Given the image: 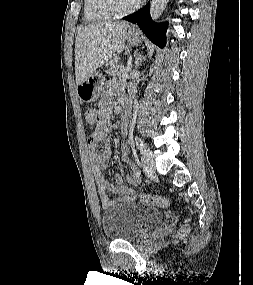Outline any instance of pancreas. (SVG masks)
Wrapping results in <instances>:
<instances>
[{
  "mask_svg": "<svg viewBox=\"0 0 253 285\" xmlns=\"http://www.w3.org/2000/svg\"><path fill=\"white\" fill-rule=\"evenodd\" d=\"M126 71V68L121 65L118 64L117 62H111L108 69H107V73L108 75L112 76V77H122V74Z\"/></svg>",
  "mask_w": 253,
  "mask_h": 285,
  "instance_id": "obj_1",
  "label": "pancreas"
}]
</instances>
